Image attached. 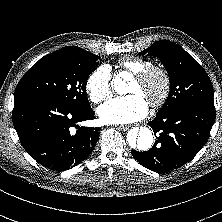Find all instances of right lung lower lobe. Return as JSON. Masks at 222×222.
<instances>
[{
  "label": "right lung lower lobe",
  "instance_id": "obj_1",
  "mask_svg": "<svg viewBox=\"0 0 222 222\" xmlns=\"http://www.w3.org/2000/svg\"><path fill=\"white\" fill-rule=\"evenodd\" d=\"M12 119L29 155L55 171L81 163L91 154L100 134V128L78 125L94 119L91 107H72L43 96H15Z\"/></svg>",
  "mask_w": 222,
  "mask_h": 222
}]
</instances>
